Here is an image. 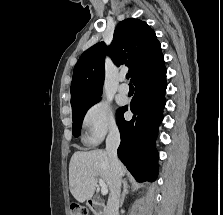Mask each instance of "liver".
<instances>
[{
  "mask_svg": "<svg viewBox=\"0 0 223 215\" xmlns=\"http://www.w3.org/2000/svg\"><path fill=\"white\" fill-rule=\"evenodd\" d=\"M121 173H126V167L121 163ZM100 175L106 181L111 193L113 175L111 161L104 149L92 151H75L69 163V187L77 201L91 199L96 187L97 177Z\"/></svg>",
  "mask_w": 223,
  "mask_h": 215,
  "instance_id": "liver-1",
  "label": "liver"
}]
</instances>
